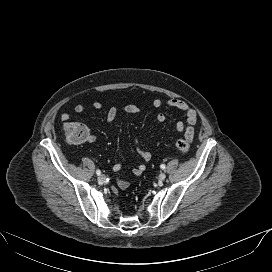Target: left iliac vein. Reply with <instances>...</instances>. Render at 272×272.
<instances>
[{
	"instance_id": "4c4485c4",
	"label": "left iliac vein",
	"mask_w": 272,
	"mask_h": 272,
	"mask_svg": "<svg viewBox=\"0 0 272 272\" xmlns=\"http://www.w3.org/2000/svg\"><path fill=\"white\" fill-rule=\"evenodd\" d=\"M158 178H159V181H163L166 178V174L165 173H160Z\"/></svg>"
}]
</instances>
